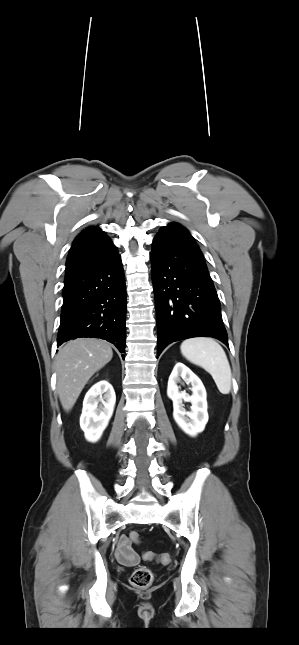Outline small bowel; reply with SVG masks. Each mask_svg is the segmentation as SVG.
<instances>
[{
    "mask_svg": "<svg viewBox=\"0 0 299 645\" xmlns=\"http://www.w3.org/2000/svg\"><path fill=\"white\" fill-rule=\"evenodd\" d=\"M115 554L118 561L125 565H135L139 561L137 553L132 548L131 539L126 535L119 537Z\"/></svg>",
    "mask_w": 299,
    "mask_h": 645,
    "instance_id": "obj_1",
    "label": "small bowel"
}]
</instances>
